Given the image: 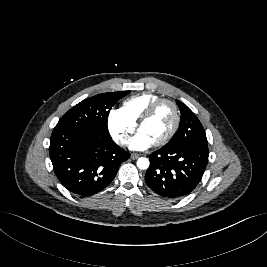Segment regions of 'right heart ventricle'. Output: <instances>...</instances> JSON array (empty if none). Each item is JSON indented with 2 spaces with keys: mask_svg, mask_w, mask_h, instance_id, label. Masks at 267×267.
I'll use <instances>...</instances> for the list:
<instances>
[{
  "mask_svg": "<svg viewBox=\"0 0 267 267\" xmlns=\"http://www.w3.org/2000/svg\"><path fill=\"white\" fill-rule=\"evenodd\" d=\"M161 96L153 93H141L124 100L122 110L125 115L136 124L148 107Z\"/></svg>",
  "mask_w": 267,
  "mask_h": 267,
  "instance_id": "1",
  "label": "right heart ventricle"
}]
</instances>
